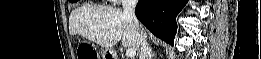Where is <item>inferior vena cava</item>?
Listing matches in <instances>:
<instances>
[{"instance_id":"602c4592","label":"inferior vena cava","mask_w":261,"mask_h":59,"mask_svg":"<svg viewBox=\"0 0 261 59\" xmlns=\"http://www.w3.org/2000/svg\"><path fill=\"white\" fill-rule=\"evenodd\" d=\"M137 0H123V14L128 21H132L139 31L140 55L139 59H152L151 48L147 42L146 34L141 29V26L135 17V7Z\"/></svg>"}]
</instances>
